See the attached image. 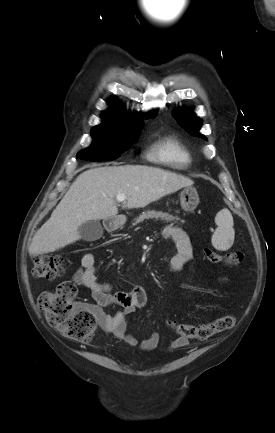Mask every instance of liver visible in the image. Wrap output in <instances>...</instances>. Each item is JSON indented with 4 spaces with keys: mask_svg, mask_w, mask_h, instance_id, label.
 I'll return each mask as SVG.
<instances>
[{
    "mask_svg": "<svg viewBox=\"0 0 275 433\" xmlns=\"http://www.w3.org/2000/svg\"><path fill=\"white\" fill-rule=\"evenodd\" d=\"M194 182L182 175L145 165L105 166L81 173L34 235L30 256L54 252L81 238L78 228L92 220L115 218V198L124 194L125 208H143Z\"/></svg>",
    "mask_w": 275,
    "mask_h": 433,
    "instance_id": "obj_1",
    "label": "liver"
}]
</instances>
